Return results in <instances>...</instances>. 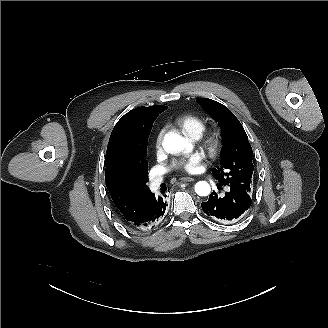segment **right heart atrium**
<instances>
[{
  "instance_id": "1",
  "label": "right heart atrium",
  "mask_w": 328,
  "mask_h": 328,
  "mask_svg": "<svg viewBox=\"0 0 328 328\" xmlns=\"http://www.w3.org/2000/svg\"><path fill=\"white\" fill-rule=\"evenodd\" d=\"M166 129L164 127L158 128L152 138L151 149L155 155H159L163 149V138Z\"/></svg>"
}]
</instances>
